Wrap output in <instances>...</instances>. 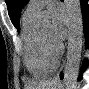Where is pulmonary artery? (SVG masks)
I'll use <instances>...</instances> for the list:
<instances>
[{"label":"pulmonary artery","mask_w":89,"mask_h":89,"mask_svg":"<svg viewBox=\"0 0 89 89\" xmlns=\"http://www.w3.org/2000/svg\"><path fill=\"white\" fill-rule=\"evenodd\" d=\"M51 0H33L27 7V12L37 14L47 4H50Z\"/></svg>","instance_id":"pulmonary-artery-1"}]
</instances>
